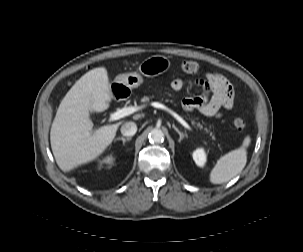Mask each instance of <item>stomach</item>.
Listing matches in <instances>:
<instances>
[{
  "instance_id": "0dacf381",
  "label": "stomach",
  "mask_w": 303,
  "mask_h": 252,
  "mask_svg": "<svg viewBox=\"0 0 303 252\" xmlns=\"http://www.w3.org/2000/svg\"><path fill=\"white\" fill-rule=\"evenodd\" d=\"M171 63L165 56H151L139 64V72H131L118 75L111 87H123L129 90L137 88L143 82V77H155L169 70Z\"/></svg>"
}]
</instances>
